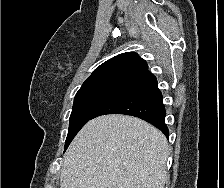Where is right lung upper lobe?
I'll list each match as a JSON object with an SVG mask.
<instances>
[{
	"label": "right lung upper lobe",
	"instance_id": "1",
	"mask_svg": "<svg viewBox=\"0 0 224 188\" xmlns=\"http://www.w3.org/2000/svg\"><path fill=\"white\" fill-rule=\"evenodd\" d=\"M146 70H148V66L145 60L140 58L137 53L126 52L101 64L84 83L111 78L133 80Z\"/></svg>",
	"mask_w": 224,
	"mask_h": 188
}]
</instances>
